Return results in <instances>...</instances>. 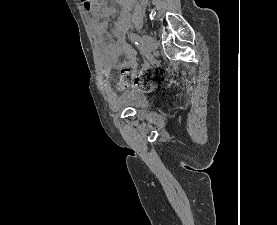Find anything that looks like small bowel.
<instances>
[{
	"label": "small bowel",
	"instance_id": "1",
	"mask_svg": "<svg viewBox=\"0 0 277 225\" xmlns=\"http://www.w3.org/2000/svg\"><path fill=\"white\" fill-rule=\"evenodd\" d=\"M112 2L115 5L122 6L123 13L116 19L109 35L106 32V27L108 25V18L113 12V8L106 6L101 9L100 13H97L95 8L88 3H84V7L88 12H91L89 26L104 66V75L106 78L104 82V91L109 102L115 104L118 97L110 86L108 78L112 70L119 67L117 59L120 55H125L127 58L126 65L130 69L135 70L137 68V58L135 52L125 42L124 38V33L128 27V13L133 0H112ZM107 37H109L108 40ZM123 87V80H119L118 89L123 90Z\"/></svg>",
	"mask_w": 277,
	"mask_h": 225
}]
</instances>
